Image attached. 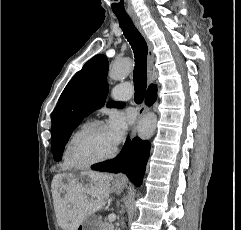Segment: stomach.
<instances>
[{
    "instance_id": "stomach-1",
    "label": "stomach",
    "mask_w": 241,
    "mask_h": 230,
    "mask_svg": "<svg viewBox=\"0 0 241 230\" xmlns=\"http://www.w3.org/2000/svg\"><path fill=\"white\" fill-rule=\"evenodd\" d=\"M77 180H81V184L84 182H90L91 178L88 175H80ZM124 188V183L121 181H114L111 186V190L120 193ZM100 224L95 217H87L83 223L76 230H99Z\"/></svg>"
}]
</instances>
